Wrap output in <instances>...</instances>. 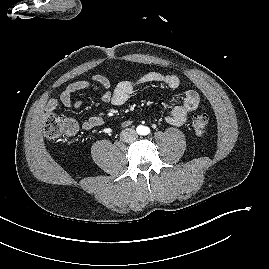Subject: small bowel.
<instances>
[{
  "label": "small bowel",
  "mask_w": 269,
  "mask_h": 269,
  "mask_svg": "<svg viewBox=\"0 0 269 269\" xmlns=\"http://www.w3.org/2000/svg\"><path fill=\"white\" fill-rule=\"evenodd\" d=\"M92 81L102 86L103 92L101 93V100L104 103H110L114 106H121L127 102L136 88L143 84L148 83H160L170 89H176L180 85L178 76L169 73H160L155 71H142L130 80H121L116 83L114 88H111L110 81L107 77L101 74H95L91 77ZM91 89V84L88 81L80 80L68 84L60 93L58 97H52L47 105L46 111H54L59 104H62L66 108L72 106H79L80 100L74 99L73 95L76 92L88 91ZM200 103V96L194 90H189L185 93L181 104L174 106L169 112L166 120L169 124L174 126H180L184 124L189 114L196 110ZM73 129L68 132L67 135H73L77 131V123L69 119ZM132 123L131 120H125L122 122V126L126 127ZM103 124V119L100 116H92L84 120L82 128L86 131L95 127H99Z\"/></svg>",
  "instance_id": "c3829d8e"
}]
</instances>
